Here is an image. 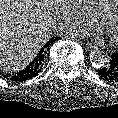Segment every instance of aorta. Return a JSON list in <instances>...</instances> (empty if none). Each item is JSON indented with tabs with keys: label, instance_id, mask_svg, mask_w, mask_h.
I'll use <instances>...</instances> for the list:
<instances>
[{
	"label": "aorta",
	"instance_id": "1",
	"mask_svg": "<svg viewBox=\"0 0 118 118\" xmlns=\"http://www.w3.org/2000/svg\"><path fill=\"white\" fill-rule=\"evenodd\" d=\"M108 58L109 57L106 52L97 48L92 50L90 54L91 64L96 68H100L104 66L108 61Z\"/></svg>",
	"mask_w": 118,
	"mask_h": 118
}]
</instances>
